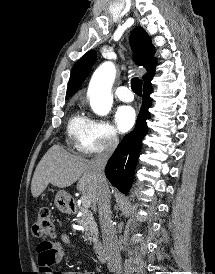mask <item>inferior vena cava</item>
<instances>
[{
    "mask_svg": "<svg viewBox=\"0 0 215 274\" xmlns=\"http://www.w3.org/2000/svg\"><path fill=\"white\" fill-rule=\"evenodd\" d=\"M118 145V138L111 136L105 145L102 153L97 154L92 160L91 165L97 177L98 191H97V205L99 221L101 225L103 246L106 253L107 266L110 271H120L121 255L119 250V243L116 232L111 221L110 208V190L104 174L106 163Z\"/></svg>",
    "mask_w": 215,
    "mask_h": 274,
    "instance_id": "602c4592",
    "label": "inferior vena cava"
}]
</instances>
